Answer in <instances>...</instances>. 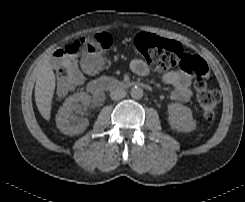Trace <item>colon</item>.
Masks as SVG:
<instances>
[{
	"mask_svg": "<svg viewBox=\"0 0 245 202\" xmlns=\"http://www.w3.org/2000/svg\"><path fill=\"white\" fill-rule=\"evenodd\" d=\"M113 45L111 35L97 34L83 40H71L59 46L53 53L59 64L58 84L70 85L75 81L76 63L73 57H80L92 52L105 53ZM133 46L156 72H164L179 66L195 78L199 108L206 120L215 116L220 98L219 92L209 82V67L199 56L191 55L180 42L162 39L146 32L137 33Z\"/></svg>",
	"mask_w": 245,
	"mask_h": 202,
	"instance_id": "5ec220e1",
	"label": "colon"
}]
</instances>
